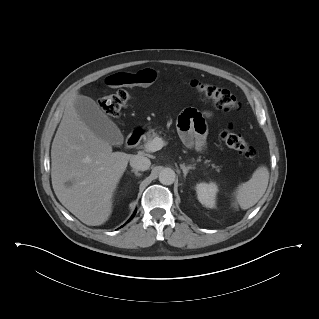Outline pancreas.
<instances>
[{"label": "pancreas", "mask_w": 319, "mask_h": 319, "mask_svg": "<svg viewBox=\"0 0 319 319\" xmlns=\"http://www.w3.org/2000/svg\"><path fill=\"white\" fill-rule=\"evenodd\" d=\"M158 133L155 131V129H149V131L144 135V142L145 145H147L150 141H152L154 138L158 137ZM210 160H205V164H208ZM213 168H218L215 164H211Z\"/></svg>", "instance_id": "obj_1"}]
</instances>
